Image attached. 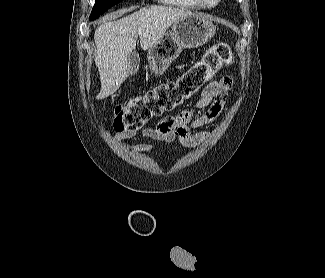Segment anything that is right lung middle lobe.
<instances>
[{
	"label": "right lung middle lobe",
	"mask_w": 325,
	"mask_h": 278,
	"mask_svg": "<svg viewBox=\"0 0 325 278\" xmlns=\"http://www.w3.org/2000/svg\"><path fill=\"white\" fill-rule=\"evenodd\" d=\"M122 0H96L89 20L97 19L101 14L107 11L111 6L121 2Z\"/></svg>",
	"instance_id": "right-lung-middle-lobe-1"
}]
</instances>
